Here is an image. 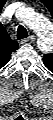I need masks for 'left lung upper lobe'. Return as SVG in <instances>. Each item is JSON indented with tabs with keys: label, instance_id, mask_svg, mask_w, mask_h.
Wrapping results in <instances>:
<instances>
[{
	"label": "left lung upper lobe",
	"instance_id": "obj_1",
	"mask_svg": "<svg viewBox=\"0 0 53 120\" xmlns=\"http://www.w3.org/2000/svg\"><path fill=\"white\" fill-rule=\"evenodd\" d=\"M45 5H49L47 1L45 0H41ZM44 63L46 65L47 68H51L52 66V61H53V58H52V54H47L44 56Z\"/></svg>",
	"mask_w": 53,
	"mask_h": 120
}]
</instances>
